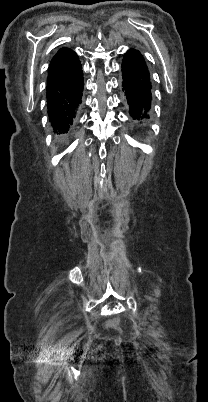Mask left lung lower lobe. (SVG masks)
Returning <instances> with one entry per match:
<instances>
[{
    "mask_svg": "<svg viewBox=\"0 0 208 402\" xmlns=\"http://www.w3.org/2000/svg\"><path fill=\"white\" fill-rule=\"evenodd\" d=\"M122 91L130 118L147 123L151 117L153 90L151 75L144 57L129 49L122 60Z\"/></svg>",
    "mask_w": 208,
    "mask_h": 402,
    "instance_id": "1",
    "label": "left lung lower lobe"
}]
</instances>
